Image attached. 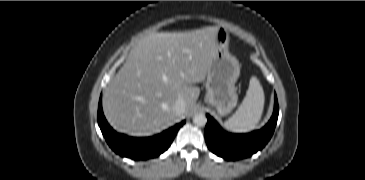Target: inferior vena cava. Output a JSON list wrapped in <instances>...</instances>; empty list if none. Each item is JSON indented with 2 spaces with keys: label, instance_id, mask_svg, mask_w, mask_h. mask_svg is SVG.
I'll list each match as a JSON object with an SVG mask.
<instances>
[{
  "label": "inferior vena cava",
  "instance_id": "obj_1",
  "mask_svg": "<svg viewBox=\"0 0 365 180\" xmlns=\"http://www.w3.org/2000/svg\"><path fill=\"white\" fill-rule=\"evenodd\" d=\"M186 103L182 98H179L174 105V110L178 115H181L185 112Z\"/></svg>",
  "mask_w": 365,
  "mask_h": 180
}]
</instances>
